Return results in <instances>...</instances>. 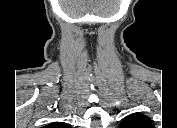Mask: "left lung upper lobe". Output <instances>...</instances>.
<instances>
[{
    "label": "left lung upper lobe",
    "mask_w": 177,
    "mask_h": 128,
    "mask_svg": "<svg viewBox=\"0 0 177 128\" xmlns=\"http://www.w3.org/2000/svg\"><path fill=\"white\" fill-rule=\"evenodd\" d=\"M154 125L150 118L147 116L134 113L125 117L119 126V128H153Z\"/></svg>",
    "instance_id": "obj_1"
}]
</instances>
